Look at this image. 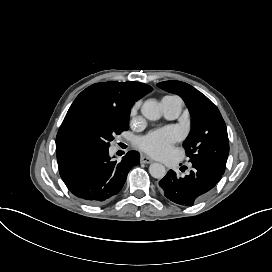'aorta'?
I'll list each match as a JSON object with an SVG mask.
<instances>
[{
  "label": "aorta",
  "mask_w": 272,
  "mask_h": 272,
  "mask_svg": "<svg viewBox=\"0 0 272 272\" xmlns=\"http://www.w3.org/2000/svg\"><path fill=\"white\" fill-rule=\"evenodd\" d=\"M141 113L144 117L153 121L160 119L162 116V112L156 99L146 100L141 107ZM149 173L153 178L162 179L166 175V169L161 163H152L149 166Z\"/></svg>",
  "instance_id": "762f6f07"
}]
</instances>
